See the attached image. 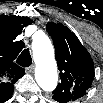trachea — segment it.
Wrapping results in <instances>:
<instances>
[{
	"mask_svg": "<svg viewBox=\"0 0 103 103\" xmlns=\"http://www.w3.org/2000/svg\"><path fill=\"white\" fill-rule=\"evenodd\" d=\"M17 63L23 67H28L32 64V58L29 49H25L22 51L17 59Z\"/></svg>",
	"mask_w": 103,
	"mask_h": 103,
	"instance_id": "1",
	"label": "trachea"
}]
</instances>
